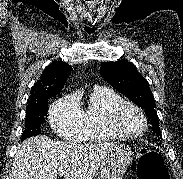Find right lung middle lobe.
<instances>
[{
  "instance_id": "1",
  "label": "right lung middle lobe",
  "mask_w": 183,
  "mask_h": 179,
  "mask_svg": "<svg viewBox=\"0 0 183 179\" xmlns=\"http://www.w3.org/2000/svg\"><path fill=\"white\" fill-rule=\"evenodd\" d=\"M48 99L38 104L27 106L25 118V130L22 133L21 141L41 133L40 127L44 123V116L47 113Z\"/></svg>"
}]
</instances>
